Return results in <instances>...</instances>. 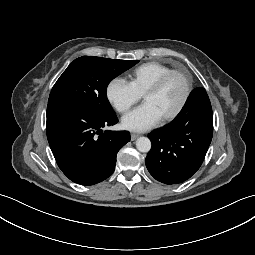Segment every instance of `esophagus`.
<instances>
[{"label":"esophagus","mask_w":255,"mask_h":255,"mask_svg":"<svg viewBox=\"0 0 255 255\" xmlns=\"http://www.w3.org/2000/svg\"><path fill=\"white\" fill-rule=\"evenodd\" d=\"M138 137H139V134H136V133L131 134V140L132 141L136 140Z\"/></svg>","instance_id":"obj_1"}]
</instances>
